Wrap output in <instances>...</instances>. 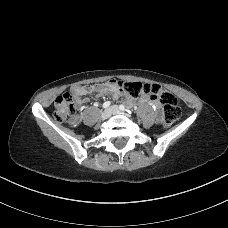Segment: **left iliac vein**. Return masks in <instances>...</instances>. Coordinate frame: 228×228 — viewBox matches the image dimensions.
<instances>
[{"mask_svg": "<svg viewBox=\"0 0 228 228\" xmlns=\"http://www.w3.org/2000/svg\"><path fill=\"white\" fill-rule=\"evenodd\" d=\"M111 112H112V114H114V115H117V114H124V113L120 110V108H119L118 106H116V105H114V106L111 107Z\"/></svg>", "mask_w": 228, "mask_h": 228, "instance_id": "4c4485c4", "label": "left iliac vein"}]
</instances>
